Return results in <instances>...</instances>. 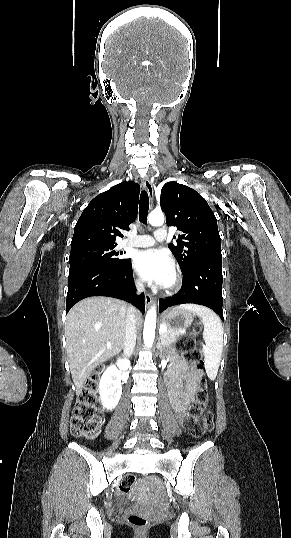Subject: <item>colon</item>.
I'll use <instances>...</instances> for the list:
<instances>
[{
	"mask_svg": "<svg viewBox=\"0 0 291 538\" xmlns=\"http://www.w3.org/2000/svg\"><path fill=\"white\" fill-rule=\"evenodd\" d=\"M178 350L184 357L200 372L203 371V360L195 346L191 336L177 339L175 342ZM102 367L96 369L86 380V383L78 396L76 406L71 417V431L76 436L88 439L94 438L100 428L102 421V406L99 402L97 390L98 381L103 373ZM209 401L208 385L203 377L200 379L196 401L186 411L184 427L194 437H200L212 428V415L206 411ZM134 486V477L124 476L120 483V490L125 494H130ZM128 523L138 533L147 530L149 521L140 514L131 513L127 518Z\"/></svg>",
	"mask_w": 291,
	"mask_h": 538,
	"instance_id": "colon-1",
	"label": "colon"
}]
</instances>
